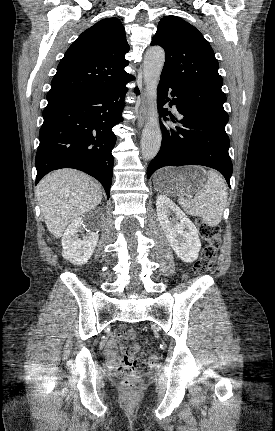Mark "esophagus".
I'll return each instance as SVG.
<instances>
[{"mask_svg":"<svg viewBox=\"0 0 275 431\" xmlns=\"http://www.w3.org/2000/svg\"><path fill=\"white\" fill-rule=\"evenodd\" d=\"M147 109H148V107H147V96H146V94H144V96L142 98V103H141V106H140V109L138 112V116H137V124H138L139 128H141L146 121Z\"/></svg>","mask_w":275,"mask_h":431,"instance_id":"esophagus-1","label":"esophagus"}]
</instances>
